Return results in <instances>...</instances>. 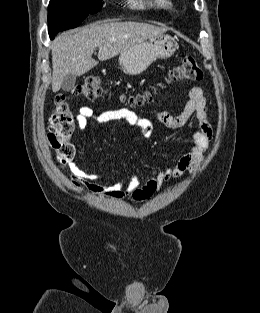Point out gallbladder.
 Instances as JSON below:
<instances>
[{
	"mask_svg": "<svg viewBox=\"0 0 260 313\" xmlns=\"http://www.w3.org/2000/svg\"><path fill=\"white\" fill-rule=\"evenodd\" d=\"M75 82H76V76L73 74H67L62 81V85H61L62 90L70 91L71 89H73Z\"/></svg>",
	"mask_w": 260,
	"mask_h": 313,
	"instance_id": "1",
	"label": "gallbladder"
}]
</instances>
